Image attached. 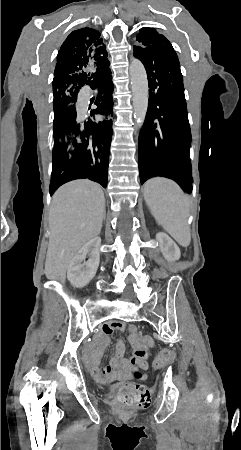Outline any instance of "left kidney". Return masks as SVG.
<instances>
[{
  "mask_svg": "<svg viewBox=\"0 0 241 450\" xmlns=\"http://www.w3.org/2000/svg\"><path fill=\"white\" fill-rule=\"evenodd\" d=\"M156 240L159 242V248L165 260H168V262H175V260H179L181 252L177 244H175V242H173L167 234H164V232H159V234H156Z\"/></svg>",
  "mask_w": 241,
  "mask_h": 450,
  "instance_id": "5707ae66",
  "label": "left kidney"
}]
</instances>
